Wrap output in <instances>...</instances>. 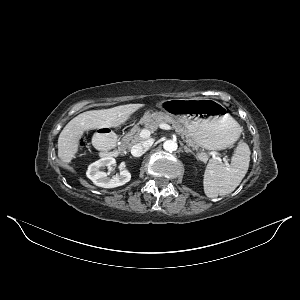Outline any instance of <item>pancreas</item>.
<instances>
[{
  "label": "pancreas",
  "instance_id": "obj_1",
  "mask_svg": "<svg viewBox=\"0 0 300 300\" xmlns=\"http://www.w3.org/2000/svg\"><path fill=\"white\" fill-rule=\"evenodd\" d=\"M161 123H169L172 125V128L179 134L190 146L195 150L199 149V145L191 138L187 130L180 124V122L165 113H158L154 117L144 116L140 123L144 125V129L149 130L151 133H154ZM143 129L139 125H135L131 131L126 134L121 141V148H130L135 144H138L143 141V138L140 137V132ZM199 159L206 162L208 160L207 154L202 150L198 153Z\"/></svg>",
  "mask_w": 300,
  "mask_h": 300
}]
</instances>
